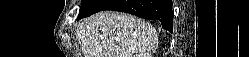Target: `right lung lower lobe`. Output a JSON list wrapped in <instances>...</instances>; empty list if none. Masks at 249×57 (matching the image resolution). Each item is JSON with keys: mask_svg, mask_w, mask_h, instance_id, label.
Here are the masks:
<instances>
[{"mask_svg": "<svg viewBox=\"0 0 249 57\" xmlns=\"http://www.w3.org/2000/svg\"><path fill=\"white\" fill-rule=\"evenodd\" d=\"M102 10H115L130 13L145 19H156L162 28L172 31L173 11L171 0H91L80 9L78 20Z\"/></svg>", "mask_w": 249, "mask_h": 57, "instance_id": "1", "label": "right lung lower lobe"}]
</instances>
